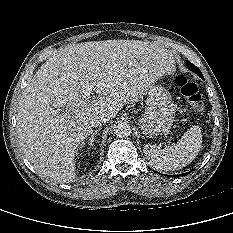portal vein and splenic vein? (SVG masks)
Returning <instances> with one entry per match:
<instances>
[{
    "mask_svg": "<svg viewBox=\"0 0 233 233\" xmlns=\"http://www.w3.org/2000/svg\"><path fill=\"white\" fill-rule=\"evenodd\" d=\"M82 88H83V95L84 97H89L92 90H93V85L89 83H82Z\"/></svg>",
    "mask_w": 233,
    "mask_h": 233,
    "instance_id": "18ae733b",
    "label": "portal vein and splenic vein"
}]
</instances>
